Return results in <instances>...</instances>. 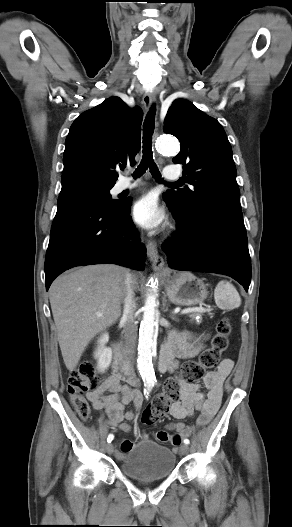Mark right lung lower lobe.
<instances>
[{
    "label": "right lung lower lobe",
    "mask_w": 292,
    "mask_h": 527,
    "mask_svg": "<svg viewBox=\"0 0 292 527\" xmlns=\"http://www.w3.org/2000/svg\"><path fill=\"white\" fill-rule=\"evenodd\" d=\"M129 213L130 201L104 206L83 197L58 199L45 258L46 290L75 266L115 263L143 270L146 248Z\"/></svg>",
    "instance_id": "obj_1"
}]
</instances>
